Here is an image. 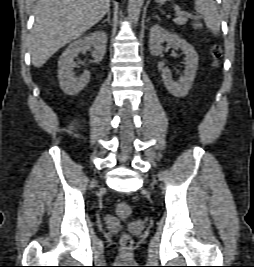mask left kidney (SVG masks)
<instances>
[{
  "label": "left kidney",
  "instance_id": "obj_1",
  "mask_svg": "<svg viewBox=\"0 0 254 267\" xmlns=\"http://www.w3.org/2000/svg\"><path fill=\"white\" fill-rule=\"evenodd\" d=\"M168 43L176 49H181L186 55L184 76L179 81H174L170 71L162 70V79L168 92L174 97H185L194 81L198 67V55L188 42L177 34L167 31L159 25H153L150 29L149 49L153 56H158L163 51V43Z\"/></svg>",
  "mask_w": 254,
  "mask_h": 267
}]
</instances>
